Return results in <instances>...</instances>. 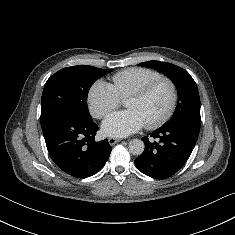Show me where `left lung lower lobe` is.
<instances>
[{
  "instance_id": "0a47b994",
  "label": "left lung lower lobe",
  "mask_w": 235,
  "mask_h": 235,
  "mask_svg": "<svg viewBox=\"0 0 235 235\" xmlns=\"http://www.w3.org/2000/svg\"><path fill=\"white\" fill-rule=\"evenodd\" d=\"M200 123L183 121L160 127L148 134L159 142L143 137L144 152L135 159L136 167L144 174L158 179L176 173L190 157L198 139Z\"/></svg>"
}]
</instances>
